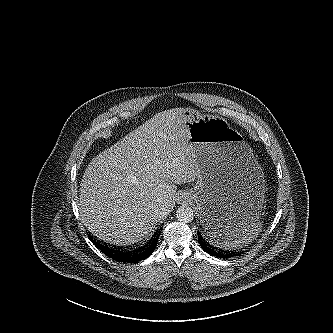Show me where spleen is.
<instances>
[{
  "instance_id": "obj_1",
  "label": "spleen",
  "mask_w": 333,
  "mask_h": 333,
  "mask_svg": "<svg viewBox=\"0 0 333 333\" xmlns=\"http://www.w3.org/2000/svg\"><path fill=\"white\" fill-rule=\"evenodd\" d=\"M259 228V224L253 225L249 229H239V230H231L225 234L228 239V244L230 246H237L240 244H245L250 242L256 235Z\"/></svg>"
}]
</instances>
